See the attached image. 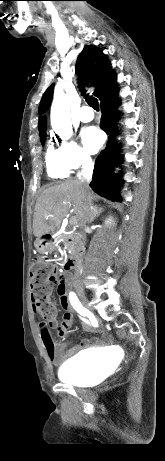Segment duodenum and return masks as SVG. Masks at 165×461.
Returning <instances> with one entry per match:
<instances>
[{"label": "duodenum", "mask_w": 165, "mask_h": 461, "mask_svg": "<svg viewBox=\"0 0 165 461\" xmlns=\"http://www.w3.org/2000/svg\"><path fill=\"white\" fill-rule=\"evenodd\" d=\"M51 235L47 236V239H50ZM69 241H73L76 244V250L71 259L67 261V269L74 270L78 267L79 262L81 261L84 254V245L83 241L76 236H72Z\"/></svg>", "instance_id": "duodenum-1"}]
</instances>
